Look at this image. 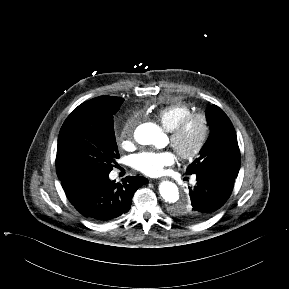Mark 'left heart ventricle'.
I'll return each mask as SVG.
<instances>
[{"mask_svg": "<svg viewBox=\"0 0 289 289\" xmlns=\"http://www.w3.org/2000/svg\"><path fill=\"white\" fill-rule=\"evenodd\" d=\"M202 128L199 120H193L184 130L178 147L183 151H189L198 143L201 136Z\"/></svg>", "mask_w": 289, "mask_h": 289, "instance_id": "left-heart-ventricle-1", "label": "left heart ventricle"}]
</instances>
